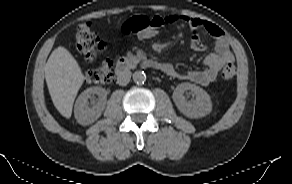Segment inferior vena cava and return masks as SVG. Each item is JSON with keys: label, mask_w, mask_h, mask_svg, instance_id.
<instances>
[{"label": "inferior vena cava", "mask_w": 292, "mask_h": 184, "mask_svg": "<svg viewBox=\"0 0 292 184\" xmlns=\"http://www.w3.org/2000/svg\"><path fill=\"white\" fill-rule=\"evenodd\" d=\"M130 79H131V71L128 69H125L118 73L117 83L121 86H125L129 83Z\"/></svg>", "instance_id": "obj_1"}]
</instances>
